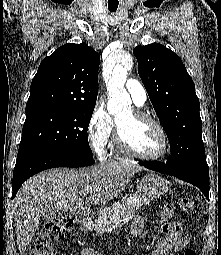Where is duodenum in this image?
Masks as SVG:
<instances>
[{"mask_svg": "<svg viewBox=\"0 0 221 255\" xmlns=\"http://www.w3.org/2000/svg\"><path fill=\"white\" fill-rule=\"evenodd\" d=\"M92 216L88 211L81 210L76 214V221L80 224H87L91 221Z\"/></svg>", "mask_w": 221, "mask_h": 255, "instance_id": "1", "label": "duodenum"}]
</instances>
